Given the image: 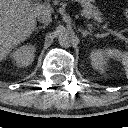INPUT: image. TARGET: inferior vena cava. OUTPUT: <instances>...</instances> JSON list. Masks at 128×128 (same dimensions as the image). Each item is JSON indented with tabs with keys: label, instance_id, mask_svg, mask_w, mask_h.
I'll return each mask as SVG.
<instances>
[{
	"label": "inferior vena cava",
	"instance_id": "602c4592",
	"mask_svg": "<svg viewBox=\"0 0 128 128\" xmlns=\"http://www.w3.org/2000/svg\"><path fill=\"white\" fill-rule=\"evenodd\" d=\"M37 18L40 23L48 24L52 21L51 11L50 10L43 11L38 14Z\"/></svg>",
	"mask_w": 128,
	"mask_h": 128
}]
</instances>
